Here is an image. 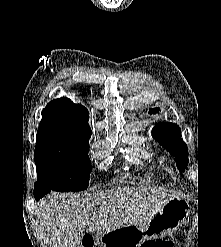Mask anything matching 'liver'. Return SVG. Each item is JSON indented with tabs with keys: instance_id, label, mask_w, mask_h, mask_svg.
<instances>
[{
	"instance_id": "obj_1",
	"label": "liver",
	"mask_w": 221,
	"mask_h": 247,
	"mask_svg": "<svg viewBox=\"0 0 221 247\" xmlns=\"http://www.w3.org/2000/svg\"><path fill=\"white\" fill-rule=\"evenodd\" d=\"M174 195L154 188L124 187L85 196L51 193L37 204L51 247H79L85 229L108 232L149 222Z\"/></svg>"
}]
</instances>
